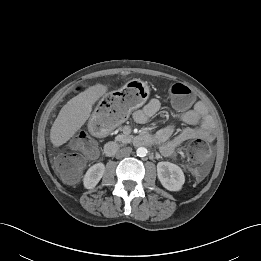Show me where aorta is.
I'll return each instance as SVG.
<instances>
[{
    "mask_svg": "<svg viewBox=\"0 0 261 261\" xmlns=\"http://www.w3.org/2000/svg\"><path fill=\"white\" fill-rule=\"evenodd\" d=\"M136 153H137V156L139 157H144L146 156L147 154V149L145 147H139L137 150H136Z\"/></svg>",
    "mask_w": 261,
    "mask_h": 261,
    "instance_id": "1",
    "label": "aorta"
}]
</instances>
